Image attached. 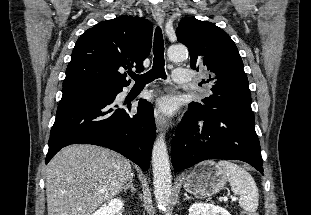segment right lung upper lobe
<instances>
[{"label":"right lung upper lobe","instance_id":"obj_1","mask_svg":"<svg viewBox=\"0 0 311 215\" xmlns=\"http://www.w3.org/2000/svg\"><path fill=\"white\" fill-rule=\"evenodd\" d=\"M152 23L122 15L102 21L77 40L66 69L63 86L77 83L128 86L122 70L143 71L152 45Z\"/></svg>","mask_w":311,"mask_h":215}]
</instances>
